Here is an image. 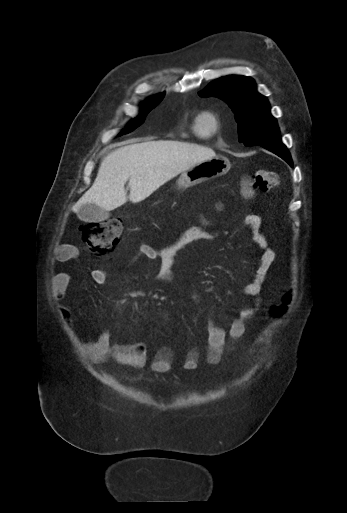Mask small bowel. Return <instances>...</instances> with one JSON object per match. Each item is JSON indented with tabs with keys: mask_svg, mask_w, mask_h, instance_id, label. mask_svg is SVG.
<instances>
[{
	"mask_svg": "<svg viewBox=\"0 0 347 513\" xmlns=\"http://www.w3.org/2000/svg\"><path fill=\"white\" fill-rule=\"evenodd\" d=\"M200 224L192 226L178 238L165 246L160 251H155L149 246L143 245L138 249L136 256L132 259L131 265L138 262L160 261L158 276L166 284H174L173 265L177 253L188 244L201 241L213 240L217 238V233L207 229L213 224V220L206 215L199 218ZM243 224L249 229L252 241L260 251L256 272L254 278L244 284L240 291L244 296L253 298L252 304L242 306L237 309V316L234 317L229 326L224 328L216 320L212 319L208 325L206 361L210 365H217L221 362L226 353L227 340H236L242 337L246 331V322L252 319L258 309V296L261 292L266 275L275 260V252L269 246L265 234L261 230L262 219L257 214H248L243 219ZM74 249L68 246H62L55 250L56 260L59 262L67 261L72 258ZM91 278L96 284H104L107 279L106 272L102 269L91 271ZM71 283L70 275L66 272H59L53 275L51 280V291L55 298L64 295ZM62 313L68 317V310L63 308ZM81 352L83 357L93 363L101 364L109 359H113L117 364L123 367L139 370L146 366L148 355L146 344L144 342H134L130 344H113L111 342L108 330H103L97 339L93 341L81 342ZM200 352L193 348L189 350L182 363L185 370H195L199 366ZM172 354L168 348H163L153 355L151 369L155 373H165L171 369Z\"/></svg>",
	"mask_w": 347,
	"mask_h": 513,
	"instance_id": "small-bowel-1",
	"label": "small bowel"
}]
</instances>
